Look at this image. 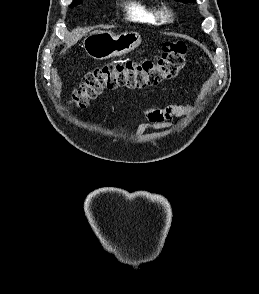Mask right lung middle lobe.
Returning <instances> with one entry per match:
<instances>
[{"label": "right lung middle lobe", "instance_id": "1", "mask_svg": "<svg viewBox=\"0 0 259 294\" xmlns=\"http://www.w3.org/2000/svg\"><path fill=\"white\" fill-rule=\"evenodd\" d=\"M82 2V0H73V3L70 5L71 8H73L74 6L80 4Z\"/></svg>", "mask_w": 259, "mask_h": 294}]
</instances>
